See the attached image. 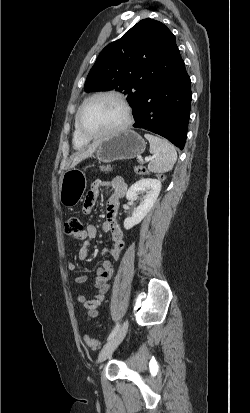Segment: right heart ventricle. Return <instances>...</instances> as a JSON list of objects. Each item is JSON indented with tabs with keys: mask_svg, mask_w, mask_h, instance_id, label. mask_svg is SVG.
I'll return each instance as SVG.
<instances>
[{
	"mask_svg": "<svg viewBox=\"0 0 250 413\" xmlns=\"http://www.w3.org/2000/svg\"><path fill=\"white\" fill-rule=\"evenodd\" d=\"M76 115H77V113H76ZM88 142H89V140L84 139L78 133L77 128H76V116H75L74 131H73V145H74L75 148L80 149V148H83L84 146H86L88 144Z\"/></svg>",
	"mask_w": 250,
	"mask_h": 413,
	"instance_id": "obj_1",
	"label": "right heart ventricle"
}]
</instances>
